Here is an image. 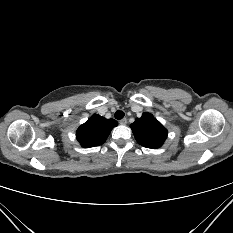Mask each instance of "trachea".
I'll return each instance as SVG.
<instances>
[{
    "label": "trachea",
    "instance_id": "trachea-1",
    "mask_svg": "<svg viewBox=\"0 0 233 233\" xmlns=\"http://www.w3.org/2000/svg\"><path fill=\"white\" fill-rule=\"evenodd\" d=\"M124 115H125V113L122 110H117L115 112L114 116H115L116 119L120 120V119H122L124 117Z\"/></svg>",
    "mask_w": 233,
    "mask_h": 233
}]
</instances>
